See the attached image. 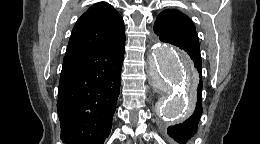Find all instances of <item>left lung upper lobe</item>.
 I'll list each match as a JSON object with an SVG mask.
<instances>
[{
	"instance_id": "5c2ea615",
	"label": "left lung upper lobe",
	"mask_w": 260,
	"mask_h": 144,
	"mask_svg": "<svg viewBox=\"0 0 260 144\" xmlns=\"http://www.w3.org/2000/svg\"><path fill=\"white\" fill-rule=\"evenodd\" d=\"M154 32L162 42H186L199 45L193 22L187 15L176 9H166L157 16ZM194 65L201 81V59L194 62Z\"/></svg>"
}]
</instances>
